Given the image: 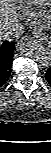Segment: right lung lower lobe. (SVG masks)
I'll list each match as a JSON object with an SVG mask.
<instances>
[{"mask_svg": "<svg viewBox=\"0 0 51 153\" xmlns=\"http://www.w3.org/2000/svg\"><path fill=\"white\" fill-rule=\"evenodd\" d=\"M14 50L15 42L0 40V87L10 76Z\"/></svg>", "mask_w": 51, "mask_h": 153, "instance_id": "1", "label": "right lung lower lobe"}]
</instances>
